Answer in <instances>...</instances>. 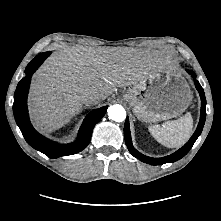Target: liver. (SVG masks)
I'll return each mask as SVG.
<instances>
[{"label": "liver", "mask_w": 221, "mask_h": 221, "mask_svg": "<svg viewBox=\"0 0 221 221\" xmlns=\"http://www.w3.org/2000/svg\"><path fill=\"white\" fill-rule=\"evenodd\" d=\"M169 61L135 48L71 47L51 56L31 86L29 108L36 127L51 132L83 107V94L95 91L105 100L117 87L136 84Z\"/></svg>", "instance_id": "liver-1"}]
</instances>
